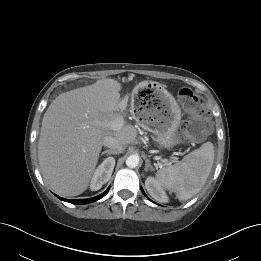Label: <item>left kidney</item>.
I'll use <instances>...</instances> for the list:
<instances>
[{"label":"left kidney","instance_id":"5707ae66","mask_svg":"<svg viewBox=\"0 0 261 261\" xmlns=\"http://www.w3.org/2000/svg\"><path fill=\"white\" fill-rule=\"evenodd\" d=\"M145 186L148 193L159 202H168V197L160 183L154 177H147Z\"/></svg>","mask_w":261,"mask_h":261}]
</instances>
